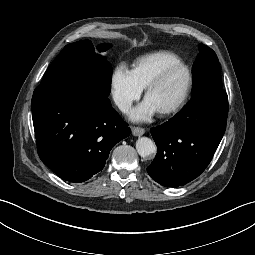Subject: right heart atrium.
Here are the masks:
<instances>
[{
  "mask_svg": "<svg viewBox=\"0 0 255 255\" xmlns=\"http://www.w3.org/2000/svg\"><path fill=\"white\" fill-rule=\"evenodd\" d=\"M142 90L132 70L123 64L114 69L111 77V93L114 102L121 110H127L140 97Z\"/></svg>",
  "mask_w": 255,
  "mask_h": 255,
  "instance_id": "right-heart-atrium-1",
  "label": "right heart atrium"
}]
</instances>
